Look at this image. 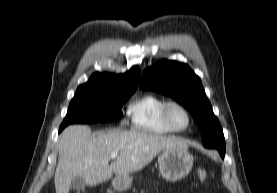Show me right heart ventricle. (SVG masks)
<instances>
[{
	"instance_id": "right-heart-ventricle-1",
	"label": "right heart ventricle",
	"mask_w": 277,
	"mask_h": 193,
	"mask_svg": "<svg viewBox=\"0 0 277 193\" xmlns=\"http://www.w3.org/2000/svg\"><path fill=\"white\" fill-rule=\"evenodd\" d=\"M166 102V99L152 93L145 94L131 102L127 114L132 127L148 134L171 133L162 120V110Z\"/></svg>"
}]
</instances>
